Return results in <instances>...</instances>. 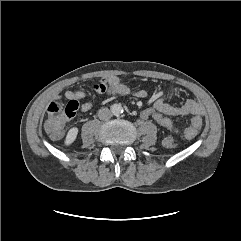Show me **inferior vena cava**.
Segmentation results:
<instances>
[{"instance_id":"inferior-vena-cava-1","label":"inferior vena cava","mask_w":241,"mask_h":241,"mask_svg":"<svg viewBox=\"0 0 241 241\" xmlns=\"http://www.w3.org/2000/svg\"><path fill=\"white\" fill-rule=\"evenodd\" d=\"M98 117L100 120L107 121L112 117V113L108 108H101L98 112Z\"/></svg>"}]
</instances>
